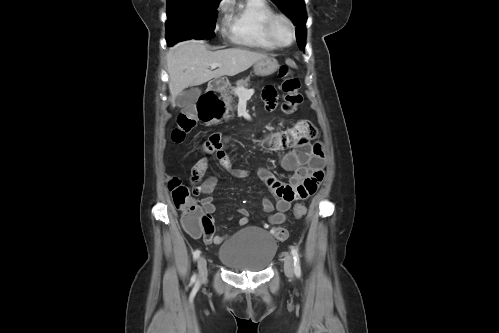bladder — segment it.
<instances>
[{
  "instance_id": "1",
  "label": "bladder",
  "mask_w": 499,
  "mask_h": 333,
  "mask_svg": "<svg viewBox=\"0 0 499 333\" xmlns=\"http://www.w3.org/2000/svg\"><path fill=\"white\" fill-rule=\"evenodd\" d=\"M277 251L276 239L260 227H245L220 246L218 259L233 272H262Z\"/></svg>"
}]
</instances>
